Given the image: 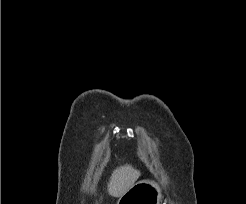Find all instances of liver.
I'll return each instance as SVG.
<instances>
[{"mask_svg": "<svg viewBox=\"0 0 246 204\" xmlns=\"http://www.w3.org/2000/svg\"><path fill=\"white\" fill-rule=\"evenodd\" d=\"M140 175V171L131 165L126 164L116 168L108 183L109 194L113 197H121L135 184Z\"/></svg>", "mask_w": 246, "mask_h": 204, "instance_id": "liver-1", "label": "liver"}]
</instances>
